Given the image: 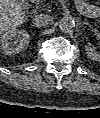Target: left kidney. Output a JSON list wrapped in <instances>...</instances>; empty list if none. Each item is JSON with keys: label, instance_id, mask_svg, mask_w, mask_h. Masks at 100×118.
<instances>
[{"label": "left kidney", "instance_id": "1", "mask_svg": "<svg viewBox=\"0 0 100 118\" xmlns=\"http://www.w3.org/2000/svg\"><path fill=\"white\" fill-rule=\"evenodd\" d=\"M86 53L91 60L100 61V53L91 47L90 43L85 47Z\"/></svg>", "mask_w": 100, "mask_h": 118}]
</instances>
